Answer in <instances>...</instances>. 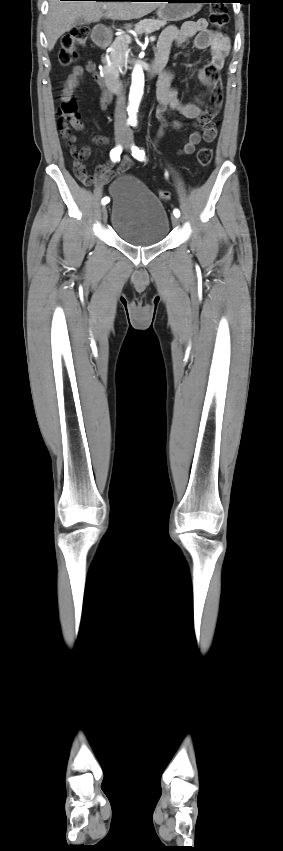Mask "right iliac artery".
<instances>
[{
	"label": "right iliac artery",
	"mask_w": 283,
	"mask_h": 851,
	"mask_svg": "<svg viewBox=\"0 0 283 851\" xmlns=\"http://www.w3.org/2000/svg\"><path fill=\"white\" fill-rule=\"evenodd\" d=\"M121 153H122V147L121 146H117V147L113 148L110 152L111 160L114 161V162L119 161ZM109 201H110L109 197H104L102 199V204H107V203H109Z\"/></svg>",
	"instance_id": "obj_1"
}]
</instances>
